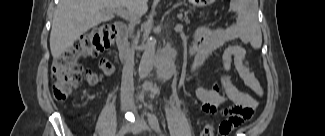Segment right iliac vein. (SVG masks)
Returning a JSON list of instances; mask_svg holds the SVG:
<instances>
[{
  "label": "right iliac vein",
  "mask_w": 325,
  "mask_h": 136,
  "mask_svg": "<svg viewBox=\"0 0 325 136\" xmlns=\"http://www.w3.org/2000/svg\"><path fill=\"white\" fill-rule=\"evenodd\" d=\"M126 108H128V105H125ZM133 124L131 123H123V125L120 127L119 131H118V136H123L125 135L128 131L131 130Z\"/></svg>",
  "instance_id": "1"
}]
</instances>
